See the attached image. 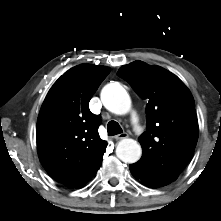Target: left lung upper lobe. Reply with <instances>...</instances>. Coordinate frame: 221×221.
Here are the masks:
<instances>
[{"label":"left lung upper lobe","mask_w":221,"mask_h":221,"mask_svg":"<svg viewBox=\"0 0 221 221\" xmlns=\"http://www.w3.org/2000/svg\"><path fill=\"white\" fill-rule=\"evenodd\" d=\"M117 74L148 102L147 132L138 138L143 154L134 163L138 178L152 188L165 186L186 167L197 143L192 94L171 72L139 60L121 67Z\"/></svg>","instance_id":"left-lung-upper-lobe-1"}]
</instances>
